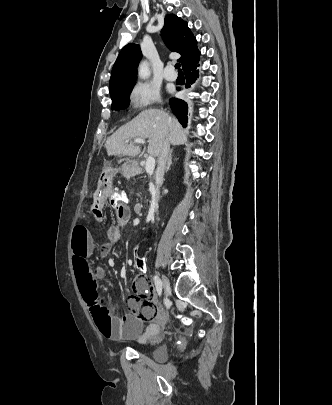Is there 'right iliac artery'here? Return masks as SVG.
<instances>
[{"label":"right iliac artery","instance_id":"right-iliac-artery-1","mask_svg":"<svg viewBox=\"0 0 332 405\" xmlns=\"http://www.w3.org/2000/svg\"><path fill=\"white\" fill-rule=\"evenodd\" d=\"M154 282H155V286H156V291H157L158 295L161 296V294H162V282L158 278V276H154Z\"/></svg>","mask_w":332,"mask_h":405}]
</instances>
